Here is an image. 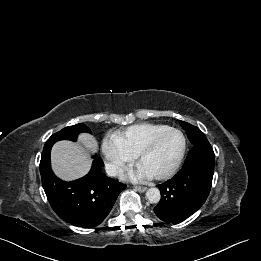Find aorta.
<instances>
[{
    "mask_svg": "<svg viewBox=\"0 0 261 261\" xmlns=\"http://www.w3.org/2000/svg\"><path fill=\"white\" fill-rule=\"evenodd\" d=\"M146 198L150 203H158L161 199V194L158 188H149L146 191Z\"/></svg>",
    "mask_w": 261,
    "mask_h": 261,
    "instance_id": "obj_1",
    "label": "aorta"
}]
</instances>
